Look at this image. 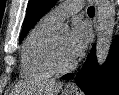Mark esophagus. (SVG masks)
Masks as SVG:
<instances>
[{
	"instance_id": "esophagus-1",
	"label": "esophagus",
	"mask_w": 119,
	"mask_h": 95,
	"mask_svg": "<svg viewBox=\"0 0 119 95\" xmlns=\"http://www.w3.org/2000/svg\"><path fill=\"white\" fill-rule=\"evenodd\" d=\"M96 17H97V14H96ZM69 87L74 88L75 86L74 84H70Z\"/></svg>"
}]
</instances>
